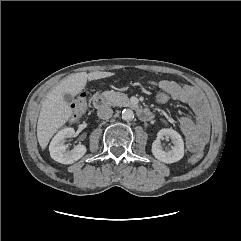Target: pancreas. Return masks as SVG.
<instances>
[{
	"label": "pancreas",
	"instance_id": "obj_1",
	"mask_svg": "<svg viewBox=\"0 0 241 241\" xmlns=\"http://www.w3.org/2000/svg\"><path fill=\"white\" fill-rule=\"evenodd\" d=\"M102 96L105 97L107 103L111 106H127L130 104L126 94L116 91H104Z\"/></svg>",
	"mask_w": 241,
	"mask_h": 241
}]
</instances>
